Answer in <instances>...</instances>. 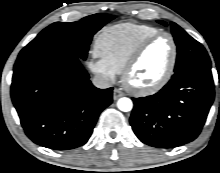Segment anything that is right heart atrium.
Returning a JSON list of instances; mask_svg holds the SVG:
<instances>
[{
    "label": "right heart atrium",
    "instance_id": "right-heart-atrium-1",
    "mask_svg": "<svg viewBox=\"0 0 220 173\" xmlns=\"http://www.w3.org/2000/svg\"><path fill=\"white\" fill-rule=\"evenodd\" d=\"M90 69L103 77L107 81H114L116 78V72L107 66L101 59H92L88 63Z\"/></svg>",
    "mask_w": 220,
    "mask_h": 173
}]
</instances>
